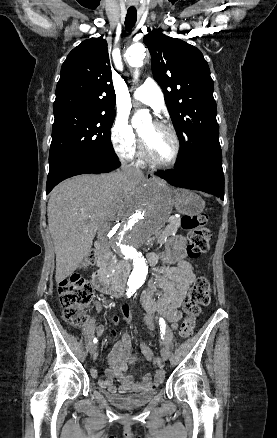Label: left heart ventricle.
Here are the masks:
<instances>
[{"instance_id":"left-heart-ventricle-1","label":"left heart ventricle","mask_w":277,"mask_h":438,"mask_svg":"<svg viewBox=\"0 0 277 438\" xmlns=\"http://www.w3.org/2000/svg\"><path fill=\"white\" fill-rule=\"evenodd\" d=\"M139 135L146 141L157 160L162 162L171 160L174 154V141L169 134L149 122L139 130Z\"/></svg>"}]
</instances>
